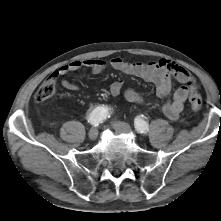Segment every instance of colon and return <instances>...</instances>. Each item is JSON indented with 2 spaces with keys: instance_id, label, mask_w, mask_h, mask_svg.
Wrapping results in <instances>:
<instances>
[{
  "instance_id": "colon-1",
  "label": "colon",
  "mask_w": 221,
  "mask_h": 221,
  "mask_svg": "<svg viewBox=\"0 0 221 221\" xmlns=\"http://www.w3.org/2000/svg\"><path fill=\"white\" fill-rule=\"evenodd\" d=\"M190 85V84H189ZM56 91V79L49 77L44 80L35 92L34 99L37 102L51 98ZM189 102L192 110L198 111L202 107V98L194 89L190 88Z\"/></svg>"
}]
</instances>
